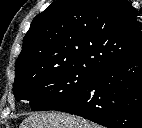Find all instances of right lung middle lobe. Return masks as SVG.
Here are the masks:
<instances>
[{"label": "right lung middle lobe", "mask_w": 142, "mask_h": 128, "mask_svg": "<svg viewBox=\"0 0 142 128\" xmlns=\"http://www.w3.org/2000/svg\"><path fill=\"white\" fill-rule=\"evenodd\" d=\"M86 67L73 65L41 69L15 79L16 100H28L33 111L56 110L83 92L93 76Z\"/></svg>", "instance_id": "1"}]
</instances>
